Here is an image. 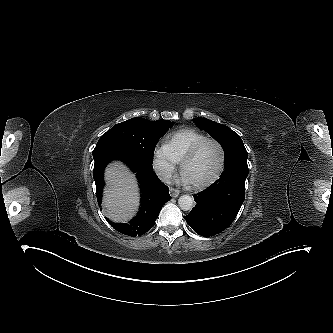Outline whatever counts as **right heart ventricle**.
<instances>
[{
    "mask_svg": "<svg viewBox=\"0 0 333 333\" xmlns=\"http://www.w3.org/2000/svg\"><path fill=\"white\" fill-rule=\"evenodd\" d=\"M206 137L205 133L195 129H181L167 139L166 146L172 156L180 161L193 145Z\"/></svg>",
    "mask_w": 333,
    "mask_h": 333,
    "instance_id": "1",
    "label": "right heart ventricle"
}]
</instances>
